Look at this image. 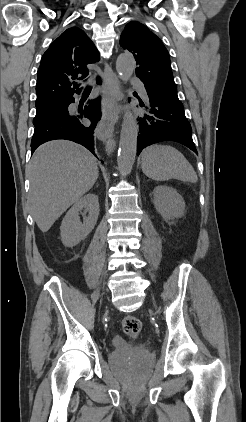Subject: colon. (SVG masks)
Listing matches in <instances>:
<instances>
[{
  "mask_svg": "<svg viewBox=\"0 0 246 422\" xmlns=\"http://www.w3.org/2000/svg\"><path fill=\"white\" fill-rule=\"evenodd\" d=\"M121 325L123 332L131 338H137L142 329L141 321L130 315L123 318Z\"/></svg>",
  "mask_w": 246,
  "mask_h": 422,
  "instance_id": "5ec220e1",
  "label": "colon"
}]
</instances>
